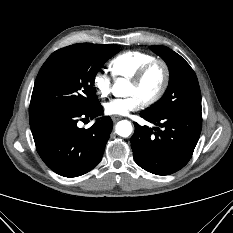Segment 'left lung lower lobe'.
Segmentation results:
<instances>
[{
    "label": "left lung lower lobe",
    "instance_id": "left-lung-lower-lobe-1",
    "mask_svg": "<svg viewBox=\"0 0 233 233\" xmlns=\"http://www.w3.org/2000/svg\"><path fill=\"white\" fill-rule=\"evenodd\" d=\"M140 115L158 127L152 129L134 123L131 147L135 162L156 175H169L183 168L201 133V112L178 110L151 117L142 111Z\"/></svg>",
    "mask_w": 233,
    "mask_h": 233
}]
</instances>
